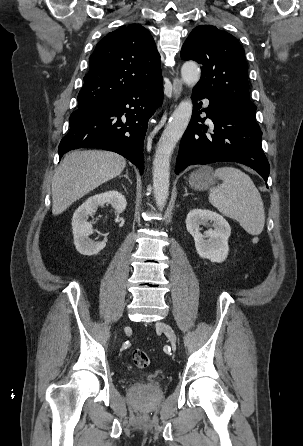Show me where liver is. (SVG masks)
Here are the masks:
<instances>
[{"mask_svg": "<svg viewBox=\"0 0 303 446\" xmlns=\"http://www.w3.org/2000/svg\"><path fill=\"white\" fill-rule=\"evenodd\" d=\"M125 166V158L110 151L68 153L52 180V214L63 213L76 200L120 175Z\"/></svg>", "mask_w": 303, "mask_h": 446, "instance_id": "liver-1", "label": "liver"}]
</instances>
